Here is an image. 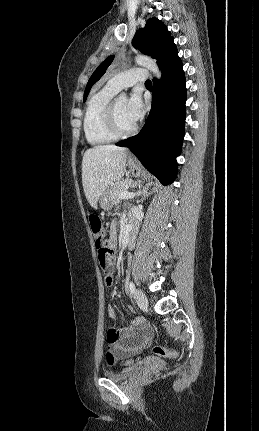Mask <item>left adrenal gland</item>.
Masks as SVG:
<instances>
[{
    "instance_id": "obj_1",
    "label": "left adrenal gland",
    "mask_w": 259,
    "mask_h": 431,
    "mask_svg": "<svg viewBox=\"0 0 259 431\" xmlns=\"http://www.w3.org/2000/svg\"><path fill=\"white\" fill-rule=\"evenodd\" d=\"M142 198H141V200H140V202H142L149 194H148V192H147V190H143V193H142Z\"/></svg>"
}]
</instances>
